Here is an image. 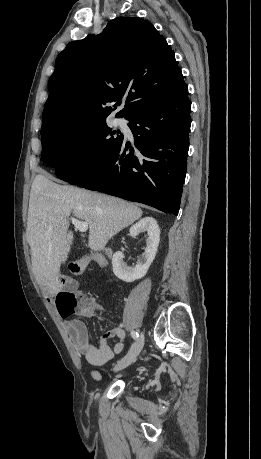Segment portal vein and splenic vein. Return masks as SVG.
<instances>
[{
  "label": "portal vein and splenic vein",
  "mask_w": 261,
  "mask_h": 459,
  "mask_svg": "<svg viewBox=\"0 0 261 459\" xmlns=\"http://www.w3.org/2000/svg\"><path fill=\"white\" fill-rule=\"evenodd\" d=\"M70 220L74 227L80 232H86L88 230V224L86 222L80 221L74 217H71Z\"/></svg>",
  "instance_id": "portal-vein-and-splenic-vein-1"
}]
</instances>
